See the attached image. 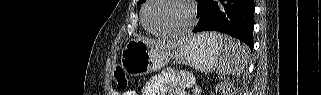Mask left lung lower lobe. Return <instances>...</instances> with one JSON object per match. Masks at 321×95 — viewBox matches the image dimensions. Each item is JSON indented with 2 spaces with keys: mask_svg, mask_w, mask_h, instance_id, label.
I'll use <instances>...</instances> for the list:
<instances>
[{
  "mask_svg": "<svg viewBox=\"0 0 321 95\" xmlns=\"http://www.w3.org/2000/svg\"><path fill=\"white\" fill-rule=\"evenodd\" d=\"M200 17L193 32L214 30L236 37L253 49L254 0H198Z\"/></svg>",
  "mask_w": 321,
  "mask_h": 95,
  "instance_id": "1",
  "label": "left lung lower lobe"
}]
</instances>
